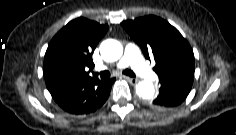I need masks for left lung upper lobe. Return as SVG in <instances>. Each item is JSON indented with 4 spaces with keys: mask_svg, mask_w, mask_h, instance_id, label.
<instances>
[{
    "mask_svg": "<svg viewBox=\"0 0 236 135\" xmlns=\"http://www.w3.org/2000/svg\"><path fill=\"white\" fill-rule=\"evenodd\" d=\"M144 56L154 58L159 79L194 76L195 60L187 40L166 20L145 16L121 22Z\"/></svg>",
    "mask_w": 236,
    "mask_h": 135,
    "instance_id": "5c2ea615",
    "label": "left lung upper lobe"
}]
</instances>
